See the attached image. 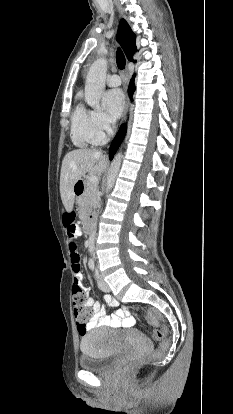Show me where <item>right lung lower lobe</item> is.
<instances>
[{
	"label": "right lung lower lobe",
	"instance_id": "obj_1",
	"mask_svg": "<svg viewBox=\"0 0 233 414\" xmlns=\"http://www.w3.org/2000/svg\"><path fill=\"white\" fill-rule=\"evenodd\" d=\"M134 76L132 77L131 81H130V85H129V89H128V93L130 95V97H132L133 92H134ZM126 133V128L125 126H122L121 129L119 130L118 134L116 135L115 139L113 140L110 150H109V156H110V160H112L114 154L116 153L118 147L120 146L124 136Z\"/></svg>",
	"mask_w": 233,
	"mask_h": 414
}]
</instances>
